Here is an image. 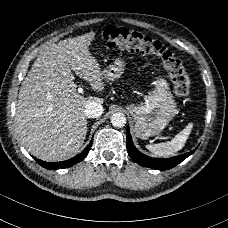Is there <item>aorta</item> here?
Segmentation results:
<instances>
[{"label":"aorta","mask_w":228,"mask_h":228,"mask_svg":"<svg viewBox=\"0 0 228 228\" xmlns=\"http://www.w3.org/2000/svg\"><path fill=\"white\" fill-rule=\"evenodd\" d=\"M111 123L114 127H123L126 124V116L124 113L117 112L111 116Z\"/></svg>","instance_id":"obj_1"}]
</instances>
